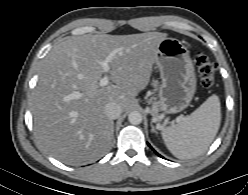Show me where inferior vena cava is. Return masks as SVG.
I'll return each mask as SVG.
<instances>
[{
  "mask_svg": "<svg viewBox=\"0 0 248 195\" xmlns=\"http://www.w3.org/2000/svg\"><path fill=\"white\" fill-rule=\"evenodd\" d=\"M104 111H105L106 116L109 119L113 120V119L119 118V116L122 113V108L118 103L110 102L106 104Z\"/></svg>",
  "mask_w": 248,
  "mask_h": 195,
  "instance_id": "inferior-vena-cava-1",
  "label": "inferior vena cava"
}]
</instances>
